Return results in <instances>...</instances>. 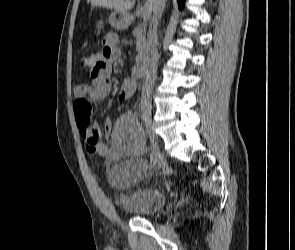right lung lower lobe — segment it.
<instances>
[{
    "label": "right lung lower lobe",
    "instance_id": "98d812e1",
    "mask_svg": "<svg viewBox=\"0 0 295 250\" xmlns=\"http://www.w3.org/2000/svg\"><path fill=\"white\" fill-rule=\"evenodd\" d=\"M177 2H178L179 8L182 9L184 6L185 0H177Z\"/></svg>",
    "mask_w": 295,
    "mask_h": 250
}]
</instances>
